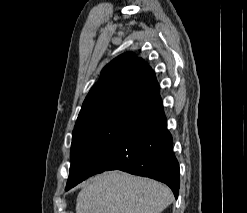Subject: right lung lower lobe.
<instances>
[{
    "label": "right lung lower lobe",
    "mask_w": 247,
    "mask_h": 213,
    "mask_svg": "<svg viewBox=\"0 0 247 213\" xmlns=\"http://www.w3.org/2000/svg\"><path fill=\"white\" fill-rule=\"evenodd\" d=\"M115 169L161 181L178 197L179 164L159 92L131 104L118 136L101 154L96 173Z\"/></svg>",
    "instance_id": "1"
}]
</instances>
